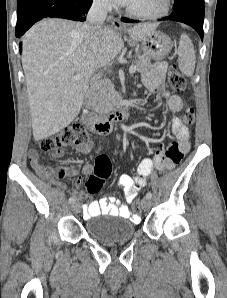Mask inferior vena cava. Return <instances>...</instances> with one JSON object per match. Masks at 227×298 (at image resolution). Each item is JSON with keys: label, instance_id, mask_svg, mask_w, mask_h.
Instances as JSON below:
<instances>
[{"label": "inferior vena cava", "instance_id": "602c4592", "mask_svg": "<svg viewBox=\"0 0 227 298\" xmlns=\"http://www.w3.org/2000/svg\"><path fill=\"white\" fill-rule=\"evenodd\" d=\"M110 9L111 3L109 0H94L88 11L86 23L83 25L84 32L94 37L102 28V24Z\"/></svg>", "mask_w": 227, "mask_h": 298}]
</instances>
